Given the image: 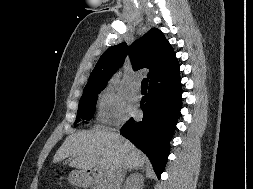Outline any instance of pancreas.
Instances as JSON below:
<instances>
[{"instance_id":"cf45deb5","label":"pancreas","mask_w":253,"mask_h":189,"mask_svg":"<svg viewBox=\"0 0 253 189\" xmlns=\"http://www.w3.org/2000/svg\"><path fill=\"white\" fill-rule=\"evenodd\" d=\"M95 182L96 183H95V186L93 187V189H102L103 188V185L100 182H98L97 180Z\"/></svg>"}]
</instances>
